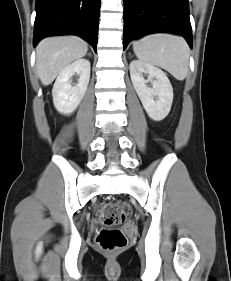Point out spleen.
Instances as JSON below:
<instances>
[{
  "label": "spleen",
  "mask_w": 231,
  "mask_h": 281,
  "mask_svg": "<svg viewBox=\"0 0 231 281\" xmlns=\"http://www.w3.org/2000/svg\"><path fill=\"white\" fill-rule=\"evenodd\" d=\"M133 51L142 62L159 66L177 80L188 74L190 50L180 36L152 34L133 42Z\"/></svg>",
  "instance_id": "spleen-1"
}]
</instances>
